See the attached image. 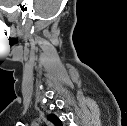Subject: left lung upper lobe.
<instances>
[{
  "instance_id": "left-lung-upper-lobe-1",
  "label": "left lung upper lobe",
  "mask_w": 127,
  "mask_h": 126,
  "mask_svg": "<svg viewBox=\"0 0 127 126\" xmlns=\"http://www.w3.org/2000/svg\"><path fill=\"white\" fill-rule=\"evenodd\" d=\"M48 120L51 121L55 126H62L61 121L53 114L48 116Z\"/></svg>"
}]
</instances>
